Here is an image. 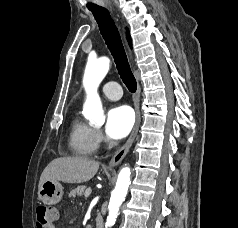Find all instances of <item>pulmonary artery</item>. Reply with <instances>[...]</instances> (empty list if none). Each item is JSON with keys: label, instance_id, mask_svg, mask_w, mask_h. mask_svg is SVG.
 <instances>
[{"label": "pulmonary artery", "instance_id": "1", "mask_svg": "<svg viewBox=\"0 0 238 228\" xmlns=\"http://www.w3.org/2000/svg\"><path fill=\"white\" fill-rule=\"evenodd\" d=\"M102 93L111 100H117L122 97V90L117 82H108L101 88Z\"/></svg>", "mask_w": 238, "mask_h": 228}]
</instances>
